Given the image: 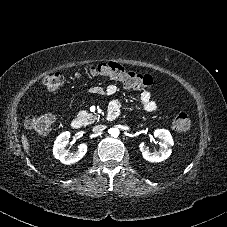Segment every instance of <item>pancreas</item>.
Segmentation results:
<instances>
[{
    "mask_svg": "<svg viewBox=\"0 0 227 227\" xmlns=\"http://www.w3.org/2000/svg\"><path fill=\"white\" fill-rule=\"evenodd\" d=\"M77 118L80 119L84 125H89L94 123L97 120V117L91 113H88L84 110L80 111L77 114Z\"/></svg>",
    "mask_w": 227,
    "mask_h": 227,
    "instance_id": "obj_1",
    "label": "pancreas"
}]
</instances>
